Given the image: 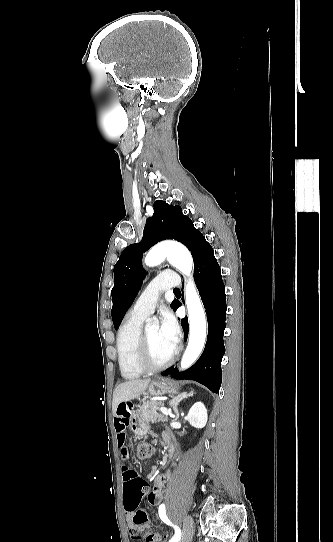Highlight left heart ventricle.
<instances>
[{
    "instance_id": "obj_1",
    "label": "left heart ventricle",
    "mask_w": 333,
    "mask_h": 542,
    "mask_svg": "<svg viewBox=\"0 0 333 542\" xmlns=\"http://www.w3.org/2000/svg\"><path fill=\"white\" fill-rule=\"evenodd\" d=\"M146 334L151 360L155 363L166 361L173 354L175 348L162 335L158 326L146 330Z\"/></svg>"
}]
</instances>
